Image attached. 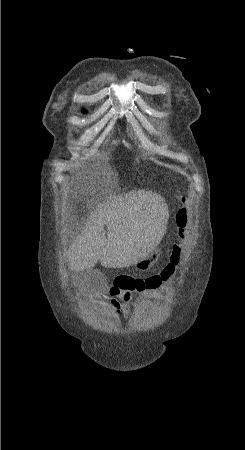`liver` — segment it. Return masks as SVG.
Here are the masks:
<instances>
[{
	"instance_id": "liver-1",
	"label": "liver",
	"mask_w": 245,
	"mask_h": 450,
	"mask_svg": "<svg viewBox=\"0 0 245 450\" xmlns=\"http://www.w3.org/2000/svg\"><path fill=\"white\" fill-rule=\"evenodd\" d=\"M165 199L145 189L107 197L90 210L69 251L71 270L134 265L150 254L166 233ZM104 226L107 227V234Z\"/></svg>"
}]
</instances>
